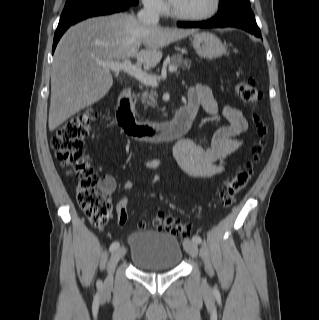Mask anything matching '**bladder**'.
Wrapping results in <instances>:
<instances>
[{"instance_id": "obj_1", "label": "bladder", "mask_w": 319, "mask_h": 320, "mask_svg": "<svg viewBox=\"0 0 319 320\" xmlns=\"http://www.w3.org/2000/svg\"><path fill=\"white\" fill-rule=\"evenodd\" d=\"M130 262L137 270L169 271L177 268L183 259V246L170 233L158 230H140L128 238Z\"/></svg>"}]
</instances>
